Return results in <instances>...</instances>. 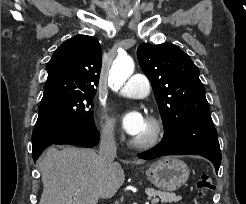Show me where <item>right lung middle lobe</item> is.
<instances>
[{
    "instance_id": "obj_1",
    "label": "right lung middle lobe",
    "mask_w": 246,
    "mask_h": 204,
    "mask_svg": "<svg viewBox=\"0 0 246 204\" xmlns=\"http://www.w3.org/2000/svg\"><path fill=\"white\" fill-rule=\"evenodd\" d=\"M95 93H71L41 101L35 127L55 128L92 125V99Z\"/></svg>"
}]
</instances>
